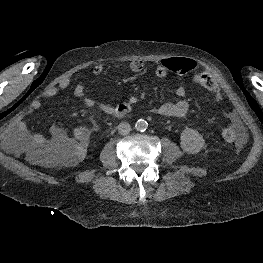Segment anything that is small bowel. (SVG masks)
Returning a JSON list of instances; mask_svg holds the SVG:
<instances>
[{
  "instance_id": "1",
  "label": "small bowel",
  "mask_w": 263,
  "mask_h": 263,
  "mask_svg": "<svg viewBox=\"0 0 263 263\" xmlns=\"http://www.w3.org/2000/svg\"><path fill=\"white\" fill-rule=\"evenodd\" d=\"M171 58L161 59L155 62V74L159 78H165L172 71L168 68L167 62ZM188 59V58H186ZM190 60L194 66L195 63L193 60ZM130 69L133 72H140L144 69V61L141 59H134L130 63ZM104 72V67L102 64L94 65L92 69V73L95 76H100ZM71 85L70 77H63L57 83L48 86L44 92V97H53L60 93L62 90L67 89ZM74 95L81 99L82 102L91 108H98L106 113H112L118 106H110L107 104L97 103L92 98L88 97L85 92V88L83 85L78 84L73 88ZM175 96L178 98L174 102L164 103L161 106L155 109V112L161 116L168 117H182L186 115L190 109L189 103L183 99L185 96V88L179 86L174 91ZM234 124L239 126L237 120H234ZM19 133L23 143L27 146L29 153L33 156H38L46 151H50L55 149L63 144H65L69 140L68 133L62 127L57 125H52L50 127V137L46 138L41 134L32 133L28 128L24 121L19 123ZM73 135H83L85 139H87L88 132L85 128H77L74 130Z\"/></svg>"
}]
</instances>
